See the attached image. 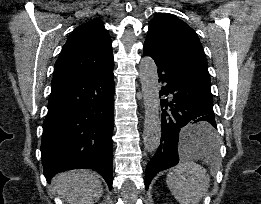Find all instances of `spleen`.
Instances as JSON below:
<instances>
[{
	"label": "spleen",
	"instance_id": "3e777b00",
	"mask_svg": "<svg viewBox=\"0 0 261 204\" xmlns=\"http://www.w3.org/2000/svg\"><path fill=\"white\" fill-rule=\"evenodd\" d=\"M192 126L194 125L186 126L185 133H188ZM217 150L218 144L215 137L211 144L206 141L200 142L196 151L208 154L216 153ZM166 182L180 204H198L209 188L210 176L203 167L193 161H181L170 170Z\"/></svg>",
	"mask_w": 261,
	"mask_h": 204
}]
</instances>
